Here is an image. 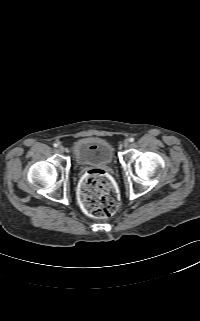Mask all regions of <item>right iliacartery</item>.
I'll return each instance as SVG.
<instances>
[{
  "label": "right iliac artery",
  "mask_w": 200,
  "mask_h": 321,
  "mask_svg": "<svg viewBox=\"0 0 200 321\" xmlns=\"http://www.w3.org/2000/svg\"><path fill=\"white\" fill-rule=\"evenodd\" d=\"M53 146H54V147H58V144H57V143H54Z\"/></svg>",
  "instance_id": "obj_1"
}]
</instances>
